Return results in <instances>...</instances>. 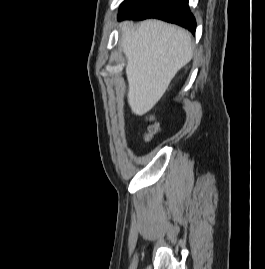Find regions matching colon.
<instances>
[{
    "label": "colon",
    "instance_id": "5ec220e1",
    "mask_svg": "<svg viewBox=\"0 0 265 269\" xmlns=\"http://www.w3.org/2000/svg\"><path fill=\"white\" fill-rule=\"evenodd\" d=\"M161 130L160 125L156 122H153L148 128V134L146 135V140H151L154 135L159 133Z\"/></svg>",
    "mask_w": 265,
    "mask_h": 269
}]
</instances>
